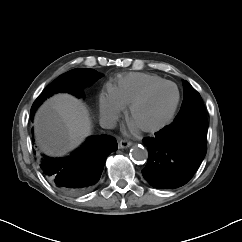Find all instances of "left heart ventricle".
Wrapping results in <instances>:
<instances>
[{
  "label": "left heart ventricle",
  "mask_w": 242,
  "mask_h": 242,
  "mask_svg": "<svg viewBox=\"0 0 242 242\" xmlns=\"http://www.w3.org/2000/svg\"><path fill=\"white\" fill-rule=\"evenodd\" d=\"M176 90L166 85L155 91L150 98L134 112L132 122L136 127H153L162 123L169 115L176 101Z\"/></svg>",
  "instance_id": "b2bd125f"
}]
</instances>
